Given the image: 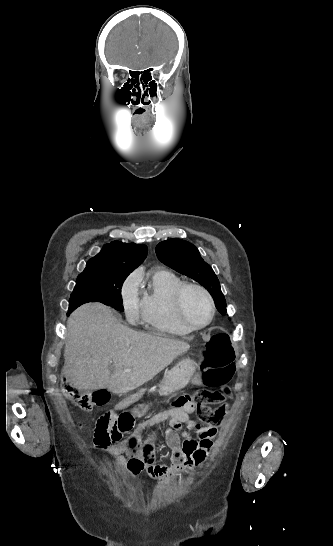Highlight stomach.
I'll use <instances>...</instances> for the list:
<instances>
[{
  "mask_svg": "<svg viewBox=\"0 0 333 546\" xmlns=\"http://www.w3.org/2000/svg\"><path fill=\"white\" fill-rule=\"evenodd\" d=\"M197 367L196 360L190 357L180 360L162 379L159 393L168 395L184 387L191 381L188 377L196 371Z\"/></svg>",
  "mask_w": 333,
  "mask_h": 546,
  "instance_id": "1",
  "label": "stomach"
}]
</instances>
